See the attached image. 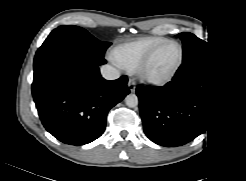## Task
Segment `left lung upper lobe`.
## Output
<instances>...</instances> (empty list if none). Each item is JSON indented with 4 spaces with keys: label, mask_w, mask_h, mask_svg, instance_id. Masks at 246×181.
<instances>
[{
    "label": "left lung upper lobe",
    "mask_w": 246,
    "mask_h": 181,
    "mask_svg": "<svg viewBox=\"0 0 246 181\" xmlns=\"http://www.w3.org/2000/svg\"><path fill=\"white\" fill-rule=\"evenodd\" d=\"M177 36L183 42V58L212 49L209 43L199 39L192 33H180Z\"/></svg>",
    "instance_id": "obj_1"
}]
</instances>
